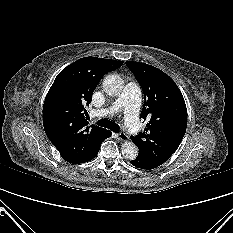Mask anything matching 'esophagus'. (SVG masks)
I'll return each instance as SVG.
<instances>
[{"label":"esophagus","instance_id":"esophagus-1","mask_svg":"<svg viewBox=\"0 0 233 233\" xmlns=\"http://www.w3.org/2000/svg\"><path fill=\"white\" fill-rule=\"evenodd\" d=\"M118 139L121 141H127L129 139V137L127 136V134H125L124 132H120L117 135Z\"/></svg>","mask_w":233,"mask_h":233}]
</instances>
